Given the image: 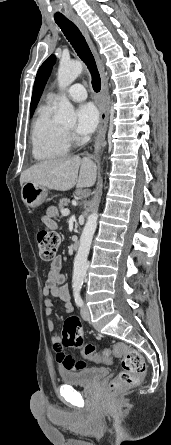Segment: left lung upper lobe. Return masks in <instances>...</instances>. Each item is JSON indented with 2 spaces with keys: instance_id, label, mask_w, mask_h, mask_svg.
<instances>
[{
  "instance_id": "5c2ea615",
  "label": "left lung upper lobe",
  "mask_w": 171,
  "mask_h": 445,
  "mask_svg": "<svg viewBox=\"0 0 171 445\" xmlns=\"http://www.w3.org/2000/svg\"><path fill=\"white\" fill-rule=\"evenodd\" d=\"M55 56L51 55L39 68L37 75H36V79H35V83H34V88H33V94H32V99H31V107H30V113L31 116L33 115V112L39 102V99L41 97V94L43 92V89L45 87L46 81L50 75V72L52 70L53 65L55 64Z\"/></svg>"
}]
</instances>
